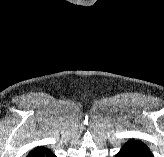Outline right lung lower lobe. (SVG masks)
Wrapping results in <instances>:
<instances>
[{"label": "right lung lower lobe", "mask_w": 164, "mask_h": 157, "mask_svg": "<svg viewBox=\"0 0 164 157\" xmlns=\"http://www.w3.org/2000/svg\"><path fill=\"white\" fill-rule=\"evenodd\" d=\"M27 157H56L49 149L45 147H36L31 150Z\"/></svg>", "instance_id": "right-lung-lower-lobe-1"}]
</instances>
